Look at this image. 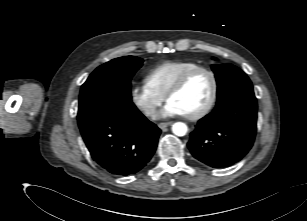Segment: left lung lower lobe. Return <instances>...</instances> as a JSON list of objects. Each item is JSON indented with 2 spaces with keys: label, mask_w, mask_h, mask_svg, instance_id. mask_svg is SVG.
Segmentation results:
<instances>
[{
  "label": "left lung lower lobe",
  "mask_w": 307,
  "mask_h": 221,
  "mask_svg": "<svg viewBox=\"0 0 307 221\" xmlns=\"http://www.w3.org/2000/svg\"><path fill=\"white\" fill-rule=\"evenodd\" d=\"M256 121L255 96L231 99L198 121L188 147L196 159L210 167L231 166L251 149Z\"/></svg>",
  "instance_id": "1"
}]
</instances>
